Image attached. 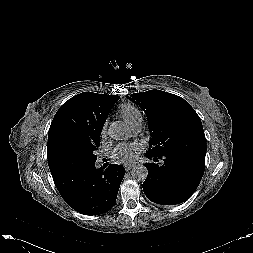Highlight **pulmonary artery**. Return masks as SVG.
<instances>
[{
    "instance_id": "obj_1",
    "label": "pulmonary artery",
    "mask_w": 253,
    "mask_h": 253,
    "mask_svg": "<svg viewBox=\"0 0 253 253\" xmlns=\"http://www.w3.org/2000/svg\"><path fill=\"white\" fill-rule=\"evenodd\" d=\"M131 129L134 131V132H138L140 130V123H136L134 125L131 126Z\"/></svg>"
}]
</instances>
